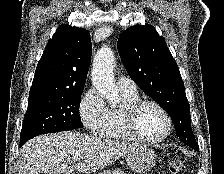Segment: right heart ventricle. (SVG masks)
Instances as JSON below:
<instances>
[{"instance_id":"1","label":"right heart ventricle","mask_w":224,"mask_h":174,"mask_svg":"<svg viewBox=\"0 0 224 174\" xmlns=\"http://www.w3.org/2000/svg\"><path fill=\"white\" fill-rule=\"evenodd\" d=\"M121 95V106L119 108L108 109L107 124L100 136L110 140L131 141L134 140V138L125 130L122 123L121 112L125 106L138 100V95H131L122 92Z\"/></svg>"}]
</instances>
